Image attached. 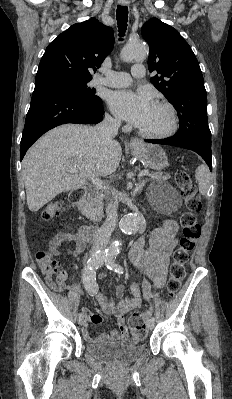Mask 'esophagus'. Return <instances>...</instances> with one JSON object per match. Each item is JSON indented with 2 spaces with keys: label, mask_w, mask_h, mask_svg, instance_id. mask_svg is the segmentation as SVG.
Masks as SVG:
<instances>
[{
  "label": "esophagus",
  "mask_w": 232,
  "mask_h": 399,
  "mask_svg": "<svg viewBox=\"0 0 232 399\" xmlns=\"http://www.w3.org/2000/svg\"><path fill=\"white\" fill-rule=\"evenodd\" d=\"M119 3L121 5H128L129 0H119ZM140 145H141V140H139L137 137H132L130 139V147L131 148H136V147H139Z\"/></svg>",
  "instance_id": "1"
}]
</instances>
